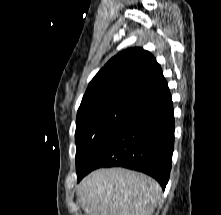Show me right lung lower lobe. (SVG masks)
Returning a JSON list of instances; mask_svg holds the SVG:
<instances>
[{"label": "right lung lower lobe", "instance_id": "98d812e1", "mask_svg": "<svg viewBox=\"0 0 221 215\" xmlns=\"http://www.w3.org/2000/svg\"><path fill=\"white\" fill-rule=\"evenodd\" d=\"M173 145V102L166 89L135 106L104 140L77 178L80 181L99 167H125L150 175L164 190L169 180Z\"/></svg>", "mask_w": 221, "mask_h": 215}]
</instances>
